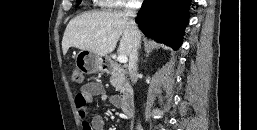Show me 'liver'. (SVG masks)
Returning a JSON list of instances; mask_svg holds the SVG:
<instances>
[{
	"label": "liver",
	"instance_id": "obj_1",
	"mask_svg": "<svg viewBox=\"0 0 257 130\" xmlns=\"http://www.w3.org/2000/svg\"><path fill=\"white\" fill-rule=\"evenodd\" d=\"M119 55L129 56L131 33L128 19L121 12H88L76 16L68 23L62 40L65 55L70 47L88 50L99 56L111 53L120 39Z\"/></svg>",
	"mask_w": 257,
	"mask_h": 130
}]
</instances>
